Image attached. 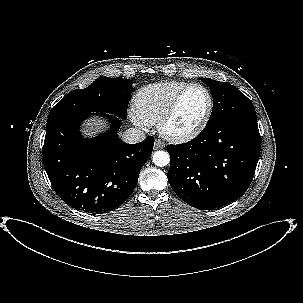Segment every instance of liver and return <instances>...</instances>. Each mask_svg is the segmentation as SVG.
Wrapping results in <instances>:
<instances>
[{
	"label": "liver",
	"mask_w": 303,
	"mask_h": 303,
	"mask_svg": "<svg viewBox=\"0 0 303 303\" xmlns=\"http://www.w3.org/2000/svg\"><path fill=\"white\" fill-rule=\"evenodd\" d=\"M103 126L104 125L101 120H90L86 124L85 132H87L88 135H93L94 133L100 131V129H102Z\"/></svg>",
	"instance_id": "6515ba94"
}]
</instances>
